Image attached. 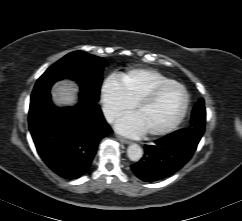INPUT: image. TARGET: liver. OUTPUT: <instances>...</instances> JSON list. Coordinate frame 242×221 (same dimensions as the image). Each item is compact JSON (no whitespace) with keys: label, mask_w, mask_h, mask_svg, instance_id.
Segmentation results:
<instances>
[{"label":"liver","mask_w":242,"mask_h":221,"mask_svg":"<svg viewBox=\"0 0 242 221\" xmlns=\"http://www.w3.org/2000/svg\"><path fill=\"white\" fill-rule=\"evenodd\" d=\"M51 93L58 107L73 106L78 100V88L71 81L63 80L58 82Z\"/></svg>","instance_id":"liver-1"}]
</instances>
